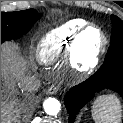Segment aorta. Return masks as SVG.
I'll list each match as a JSON object with an SVG mask.
<instances>
[{"instance_id": "aorta-1", "label": "aorta", "mask_w": 123, "mask_h": 123, "mask_svg": "<svg viewBox=\"0 0 123 123\" xmlns=\"http://www.w3.org/2000/svg\"><path fill=\"white\" fill-rule=\"evenodd\" d=\"M43 108L48 115H57L60 111L61 104L56 98H47L43 103Z\"/></svg>"}]
</instances>
